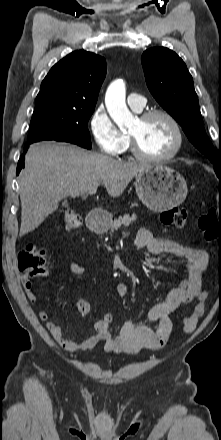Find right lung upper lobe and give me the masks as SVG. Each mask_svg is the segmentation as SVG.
<instances>
[{
    "mask_svg": "<svg viewBox=\"0 0 221 440\" xmlns=\"http://www.w3.org/2000/svg\"><path fill=\"white\" fill-rule=\"evenodd\" d=\"M105 75L103 57L84 50L74 51L51 68L42 81L36 103L55 101L95 107Z\"/></svg>",
    "mask_w": 221,
    "mask_h": 440,
    "instance_id": "cb5924a9",
    "label": "right lung upper lobe"
}]
</instances>
